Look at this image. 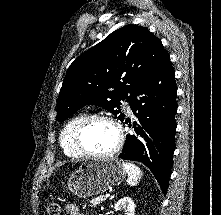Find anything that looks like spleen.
<instances>
[{
    "label": "spleen",
    "instance_id": "obj_1",
    "mask_svg": "<svg viewBox=\"0 0 221 215\" xmlns=\"http://www.w3.org/2000/svg\"><path fill=\"white\" fill-rule=\"evenodd\" d=\"M123 168L125 169L126 173L128 174L127 183L130 186H135L141 179L142 172L138 166L130 162H123Z\"/></svg>",
    "mask_w": 221,
    "mask_h": 215
}]
</instances>
